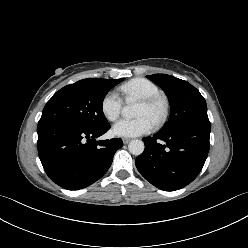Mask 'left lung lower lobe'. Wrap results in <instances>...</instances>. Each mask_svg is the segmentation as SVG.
<instances>
[{"label":"left lung lower lobe","instance_id":"0a47b994","mask_svg":"<svg viewBox=\"0 0 248 248\" xmlns=\"http://www.w3.org/2000/svg\"><path fill=\"white\" fill-rule=\"evenodd\" d=\"M210 122L185 125L171 133L145 137L144 152L135 161L141 175L155 187L175 191L191 183L202 170L210 143ZM158 140L166 142L165 145Z\"/></svg>","mask_w":248,"mask_h":248}]
</instances>
